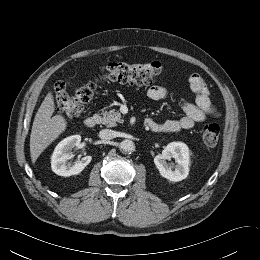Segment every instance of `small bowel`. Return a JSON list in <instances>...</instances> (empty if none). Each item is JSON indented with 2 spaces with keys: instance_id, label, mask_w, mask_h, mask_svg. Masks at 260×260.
<instances>
[{
  "instance_id": "1",
  "label": "small bowel",
  "mask_w": 260,
  "mask_h": 260,
  "mask_svg": "<svg viewBox=\"0 0 260 260\" xmlns=\"http://www.w3.org/2000/svg\"><path fill=\"white\" fill-rule=\"evenodd\" d=\"M188 84L196 95L195 103L182 101L181 107L184 116L179 119H169L163 122L150 119L152 126L149 128L151 130L155 132H178L182 129L192 128L196 123L204 121L207 117L218 115L217 110L211 104L208 88L201 75L191 74ZM147 95L151 100H161L168 96V91L162 86H153L148 89Z\"/></svg>"
}]
</instances>
